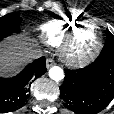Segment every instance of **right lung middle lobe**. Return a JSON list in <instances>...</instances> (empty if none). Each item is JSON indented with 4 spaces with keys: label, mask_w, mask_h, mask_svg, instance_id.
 I'll return each mask as SVG.
<instances>
[{
    "label": "right lung middle lobe",
    "mask_w": 114,
    "mask_h": 114,
    "mask_svg": "<svg viewBox=\"0 0 114 114\" xmlns=\"http://www.w3.org/2000/svg\"><path fill=\"white\" fill-rule=\"evenodd\" d=\"M21 18L16 13H9L0 17V38H4L14 32H20Z\"/></svg>",
    "instance_id": "dd1d6c3e"
}]
</instances>
